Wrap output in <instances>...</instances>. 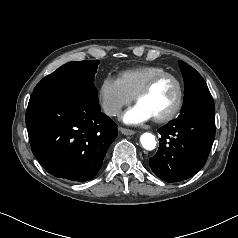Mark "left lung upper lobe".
Masks as SVG:
<instances>
[{"instance_id":"obj_1","label":"left lung upper lobe","mask_w":238,"mask_h":238,"mask_svg":"<svg viewBox=\"0 0 238 238\" xmlns=\"http://www.w3.org/2000/svg\"><path fill=\"white\" fill-rule=\"evenodd\" d=\"M183 75L184 103L179 118L215 115V106L211 93L202 76L191 66L179 60Z\"/></svg>"}]
</instances>
